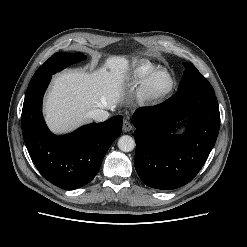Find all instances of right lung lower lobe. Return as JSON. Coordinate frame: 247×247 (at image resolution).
Returning a JSON list of instances; mask_svg holds the SVG:
<instances>
[{"label": "right lung lower lobe", "instance_id": "obj_1", "mask_svg": "<svg viewBox=\"0 0 247 247\" xmlns=\"http://www.w3.org/2000/svg\"><path fill=\"white\" fill-rule=\"evenodd\" d=\"M51 76L29 83L21 116L23 138L44 178L63 189H77L96 176L107 150L121 134L123 116L83 126L69 135H53L42 116V98Z\"/></svg>", "mask_w": 247, "mask_h": 247}]
</instances>
